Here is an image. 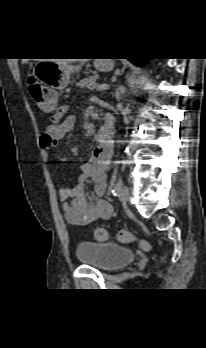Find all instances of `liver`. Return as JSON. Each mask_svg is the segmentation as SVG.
Listing matches in <instances>:
<instances>
[{
  "instance_id": "6515ba94",
  "label": "liver",
  "mask_w": 206,
  "mask_h": 348,
  "mask_svg": "<svg viewBox=\"0 0 206 348\" xmlns=\"http://www.w3.org/2000/svg\"><path fill=\"white\" fill-rule=\"evenodd\" d=\"M90 59H56L55 62L58 64H65V63H73V62H80L84 63L89 61Z\"/></svg>"
}]
</instances>
